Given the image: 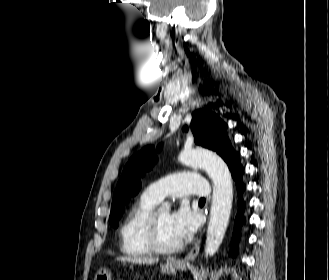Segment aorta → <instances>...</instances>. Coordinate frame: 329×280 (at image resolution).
<instances>
[{"mask_svg":"<svg viewBox=\"0 0 329 280\" xmlns=\"http://www.w3.org/2000/svg\"><path fill=\"white\" fill-rule=\"evenodd\" d=\"M179 161L186 166H198L205 169L213 182V199L210 220L207 228L205 255L213 256L219 249L231 214L233 185L231 173L222 158L216 154L200 149L183 150ZM166 210L170 204L165 203Z\"/></svg>","mask_w":329,"mask_h":280,"instance_id":"1","label":"aorta"}]
</instances>
